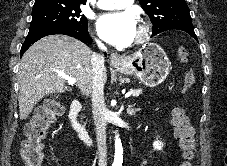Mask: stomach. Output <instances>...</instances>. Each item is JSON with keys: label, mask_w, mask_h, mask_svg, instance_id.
<instances>
[{"label": "stomach", "mask_w": 227, "mask_h": 166, "mask_svg": "<svg viewBox=\"0 0 227 166\" xmlns=\"http://www.w3.org/2000/svg\"><path fill=\"white\" fill-rule=\"evenodd\" d=\"M171 63L164 49L148 43L136 53L124 57L114 68L121 74L136 76L144 85L155 87L162 83L170 72Z\"/></svg>", "instance_id": "obj_1"}]
</instances>
